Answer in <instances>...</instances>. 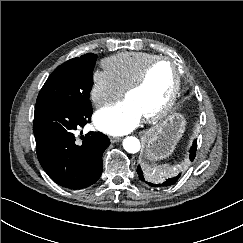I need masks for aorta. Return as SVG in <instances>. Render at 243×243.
Here are the masks:
<instances>
[{
  "mask_svg": "<svg viewBox=\"0 0 243 243\" xmlns=\"http://www.w3.org/2000/svg\"><path fill=\"white\" fill-rule=\"evenodd\" d=\"M123 147L128 153L135 154L139 152L141 145L136 137L129 136L123 140Z\"/></svg>",
  "mask_w": 243,
  "mask_h": 243,
  "instance_id": "762f6f07",
  "label": "aorta"
}]
</instances>
